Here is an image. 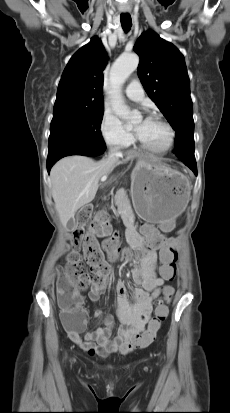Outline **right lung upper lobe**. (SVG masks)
I'll return each mask as SVG.
<instances>
[{
	"label": "right lung upper lobe",
	"mask_w": 230,
	"mask_h": 413,
	"mask_svg": "<svg viewBox=\"0 0 230 413\" xmlns=\"http://www.w3.org/2000/svg\"><path fill=\"white\" fill-rule=\"evenodd\" d=\"M106 64L102 42L93 37L68 62L59 82L53 113L104 109L102 73Z\"/></svg>",
	"instance_id": "obj_1"
}]
</instances>
